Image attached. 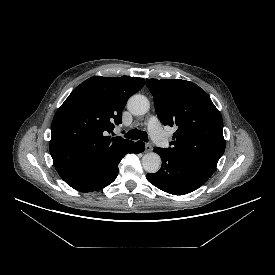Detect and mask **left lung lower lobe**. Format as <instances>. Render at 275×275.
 Here are the masks:
<instances>
[{
	"instance_id": "obj_1",
	"label": "left lung lower lobe",
	"mask_w": 275,
	"mask_h": 275,
	"mask_svg": "<svg viewBox=\"0 0 275 275\" xmlns=\"http://www.w3.org/2000/svg\"><path fill=\"white\" fill-rule=\"evenodd\" d=\"M162 159L161 169L148 173L147 179L155 187L174 195L188 194L201 187L211 176L173 155L168 149L154 148Z\"/></svg>"
}]
</instances>
